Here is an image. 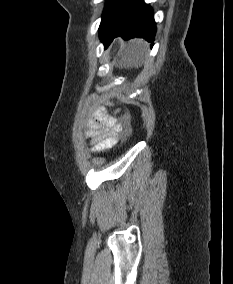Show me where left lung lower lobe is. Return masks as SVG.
Instances as JSON below:
<instances>
[{
  "label": "left lung lower lobe",
  "instance_id": "1",
  "mask_svg": "<svg viewBox=\"0 0 233 284\" xmlns=\"http://www.w3.org/2000/svg\"><path fill=\"white\" fill-rule=\"evenodd\" d=\"M155 32L152 9L144 0L106 1L99 27V38L105 49L118 36L125 40L141 37L153 42Z\"/></svg>",
  "mask_w": 233,
  "mask_h": 284
}]
</instances>
